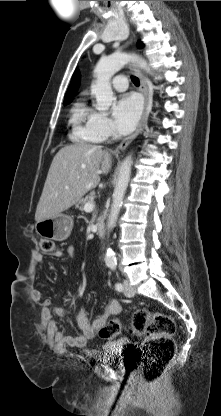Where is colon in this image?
<instances>
[{"label":"colon","mask_w":221,"mask_h":416,"mask_svg":"<svg viewBox=\"0 0 221 416\" xmlns=\"http://www.w3.org/2000/svg\"><path fill=\"white\" fill-rule=\"evenodd\" d=\"M43 253L51 254L55 249V242L49 239L41 240ZM123 330L141 336L145 335L140 357L142 378L149 383H155L172 361L176 352V323L165 313L148 309L136 310L128 325L113 318L107 321L98 333L106 339L116 338Z\"/></svg>","instance_id":"1"}]
</instances>
